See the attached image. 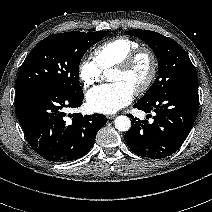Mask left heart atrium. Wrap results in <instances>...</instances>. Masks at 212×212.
Listing matches in <instances>:
<instances>
[{
	"instance_id": "1",
	"label": "left heart atrium",
	"mask_w": 212,
	"mask_h": 212,
	"mask_svg": "<svg viewBox=\"0 0 212 212\" xmlns=\"http://www.w3.org/2000/svg\"><path fill=\"white\" fill-rule=\"evenodd\" d=\"M134 89L123 82L97 86L86 95L88 107L98 113L112 114L131 103Z\"/></svg>"
}]
</instances>
